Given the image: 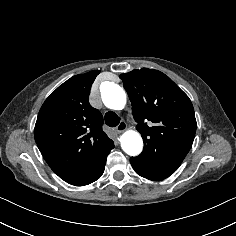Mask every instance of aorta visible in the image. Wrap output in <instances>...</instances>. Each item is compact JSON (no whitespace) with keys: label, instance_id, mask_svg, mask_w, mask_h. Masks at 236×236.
<instances>
[{"label":"aorta","instance_id":"aorta-1","mask_svg":"<svg viewBox=\"0 0 236 236\" xmlns=\"http://www.w3.org/2000/svg\"><path fill=\"white\" fill-rule=\"evenodd\" d=\"M102 101L106 107L113 110L124 108L127 98L125 91L117 84L108 82L101 91ZM121 147L130 156H137L143 149V140L136 131H126L121 136Z\"/></svg>","mask_w":236,"mask_h":236}]
</instances>
